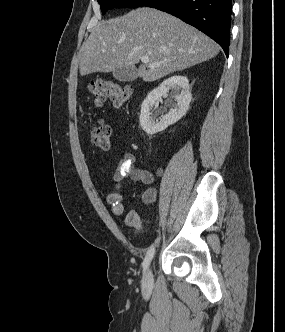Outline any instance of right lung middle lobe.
<instances>
[{
  "label": "right lung middle lobe",
  "mask_w": 285,
  "mask_h": 332,
  "mask_svg": "<svg viewBox=\"0 0 285 332\" xmlns=\"http://www.w3.org/2000/svg\"><path fill=\"white\" fill-rule=\"evenodd\" d=\"M104 14L108 9L132 7L137 8L143 6L149 0H97Z\"/></svg>",
  "instance_id": "dd1d6c3e"
}]
</instances>
